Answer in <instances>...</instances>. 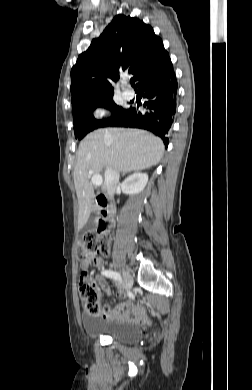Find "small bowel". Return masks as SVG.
<instances>
[{"instance_id": "c3829d8e", "label": "small bowel", "mask_w": 252, "mask_h": 390, "mask_svg": "<svg viewBox=\"0 0 252 390\" xmlns=\"http://www.w3.org/2000/svg\"><path fill=\"white\" fill-rule=\"evenodd\" d=\"M90 264L101 267L103 265V259L101 257H96L82 262L81 266L82 268H87ZM94 284L96 287H100L107 295L113 296L110 287L102 276H97ZM115 296L118 298H124L125 293L122 290ZM102 317L108 320L120 322H142L146 318V312L144 307L140 305H134L130 301H121L114 309H110L108 305L104 306L102 309Z\"/></svg>"}]
</instances>
